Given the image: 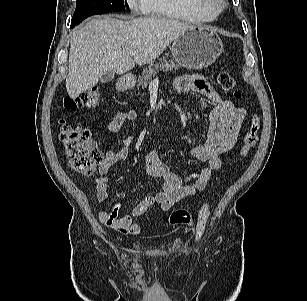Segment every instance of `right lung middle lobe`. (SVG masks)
<instances>
[{
    "instance_id": "1",
    "label": "right lung middle lobe",
    "mask_w": 307,
    "mask_h": 301,
    "mask_svg": "<svg viewBox=\"0 0 307 301\" xmlns=\"http://www.w3.org/2000/svg\"><path fill=\"white\" fill-rule=\"evenodd\" d=\"M126 6L125 0H76V10L71 24L77 25L91 15L121 11Z\"/></svg>"
}]
</instances>
